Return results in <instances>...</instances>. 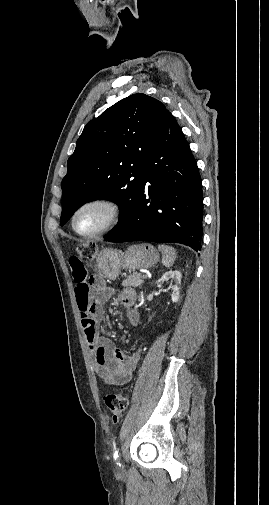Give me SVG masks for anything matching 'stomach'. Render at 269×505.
Wrapping results in <instances>:
<instances>
[{
    "label": "stomach",
    "instance_id": "obj_1",
    "mask_svg": "<svg viewBox=\"0 0 269 505\" xmlns=\"http://www.w3.org/2000/svg\"><path fill=\"white\" fill-rule=\"evenodd\" d=\"M159 261V252L151 244L131 245L125 252L106 248L99 252L96 266L104 278L115 280L122 269L135 271L149 268Z\"/></svg>",
    "mask_w": 269,
    "mask_h": 505
}]
</instances>
